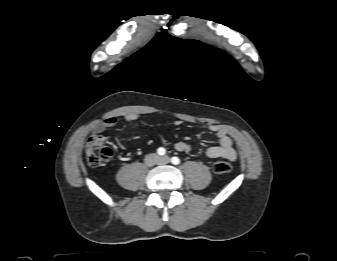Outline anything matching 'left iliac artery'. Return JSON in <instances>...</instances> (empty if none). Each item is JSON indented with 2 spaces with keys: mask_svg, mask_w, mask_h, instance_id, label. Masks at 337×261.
I'll return each mask as SVG.
<instances>
[{
  "mask_svg": "<svg viewBox=\"0 0 337 261\" xmlns=\"http://www.w3.org/2000/svg\"><path fill=\"white\" fill-rule=\"evenodd\" d=\"M171 162L174 165H178L180 163V159L178 157H172Z\"/></svg>",
  "mask_w": 337,
  "mask_h": 261,
  "instance_id": "44dca946",
  "label": "left iliac artery"
}]
</instances>
